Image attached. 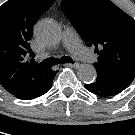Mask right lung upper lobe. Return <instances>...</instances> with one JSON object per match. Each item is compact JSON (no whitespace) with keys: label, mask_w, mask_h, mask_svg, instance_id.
<instances>
[{"label":"right lung upper lobe","mask_w":135,"mask_h":135,"mask_svg":"<svg viewBox=\"0 0 135 135\" xmlns=\"http://www.w3.org/2000/svg\"><path fill=\"white\" fill-rule=\"evenodd\" d=\"M55 0H8L0 7V84L11 94L28 91L51 78L49 67L28 61L34 57L29 40L37 19Z\"/></svg>","instance_id":"1"}]
</instances>
